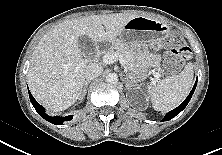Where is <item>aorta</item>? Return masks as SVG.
Here are the masks:
<instances>
[{"instance_id": "762f6f07", "label": "aorta", "mask_w": 222, "mask_h": 155, "mask_svg": "<svg viewBox=\"0 0 222 155\" xmlns=\"http://www.w3.org/2000/svg\"><path fill=\"white\" fill-rule=\"evenodd\" d=\"M106 82L109 84H115L118 82V75L115 73H109L106 76Z\"/></svg>"}]
</instances>
